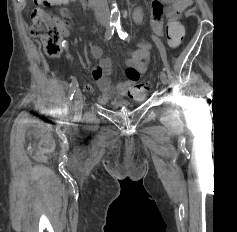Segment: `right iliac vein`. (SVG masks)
I'll list each match as a JSON object with an SVG mask.
<instances>
[{
    "label": "right iliac vein",
    "mask_w": 237,
    "mask_h": 232,
    "mask_svg": "<svg viewBox=\"0 0 237 232\" xmlns=\"http://www.w3.org/2000/svg\"><path fill=\"white\" fill-rule=\"evenodd\" d=\"M83 97L82 92L80 89H77L74 97V111H75V117L79 118L82 114L83 109Z\"/></svg>",
    "instance_id": "obj_1"
}]
</instances>
